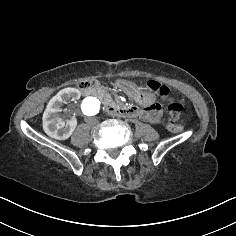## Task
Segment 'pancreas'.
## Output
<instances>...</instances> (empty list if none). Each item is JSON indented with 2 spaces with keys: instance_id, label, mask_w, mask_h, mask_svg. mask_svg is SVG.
<instances>
[{
  "instance_id": "obj_1",
  "label": "pancreas",
  "mask_w": 236,
  "mask_h": 236,
  "mask_svg": "<svg viewBox=\"0 0 236 236\" xmlns=\"http://www.w3.org/2000/svg\"><path fill=\"white\" fill-rule=\"evenodd\" d=\"M96 95L104 102H107V100L111 98V95L107 88H99Z\"/></svg>"
}]
</instances>
